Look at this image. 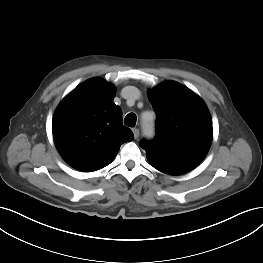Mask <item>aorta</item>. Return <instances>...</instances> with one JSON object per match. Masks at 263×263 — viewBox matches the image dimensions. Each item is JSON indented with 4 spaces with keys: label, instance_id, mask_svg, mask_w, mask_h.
Instances as JSON below:
<instances>
[{
    "label": "aorta",
    "instance_id": "aorta-1",
    "mask_svg": "<svg viewBox=\"0 0 263 263\" xmlns=\"http://www.w3.org/2000/svg\"><path fill=\"white\" fill-rule=\"evenodd\" d=\"M147 114H144L142 116V128H143V134L146 137H153L154 135V122L153 118L147 119Z\"/></svg>",
    "mask_w": 263,
    "mask_h": 263
}]
</instances>
